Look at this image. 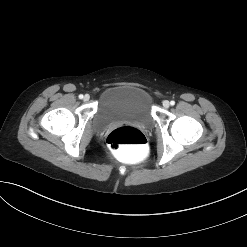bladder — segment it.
Masks as SVG:
<instances>
[{"label":"bladder","instance_id":"bladder-1","mask_svg":"<svg viewBox=\"0 0 247 247\" xmlns=\"http://www.w3.org/2000/svg\"><path fill=\"white\" fill-rule=\"evenodd\" d=\"M117 122L143 126L153 122L152 100L145 89L132 85H118L101 93L93 115V128L101 130Z\"/></svg>","mask_w":247,"mask_h":247}]
</instances>
